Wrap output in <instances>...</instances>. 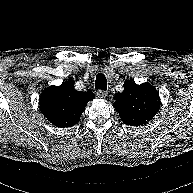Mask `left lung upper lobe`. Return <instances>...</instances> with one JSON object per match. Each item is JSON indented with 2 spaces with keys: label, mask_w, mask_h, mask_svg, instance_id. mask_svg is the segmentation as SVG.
Instances as JSON below:
<instances>
[{
  "label": "left lung upper lobe",
  "mask_w": 193,
  "mask_h": 193,
  "mask_svg": "<svg viewBox=\"0 0 193 193\" xmlns=\"http://www.w3.org/2000/svg\"><path fill=\"white\" fill-rule=\"evenodd\" d=\"M114 108L122 121L131 126H139L150 121L160 108V97L155 87L148 83L137 85L126 80L124 91L115 94Z\"/></svg>",
  "instance_id": "5c2ea615"
}]
</instances>
